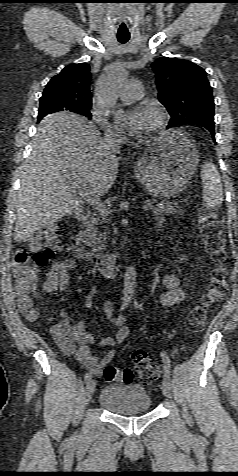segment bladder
Instances as JSON below:
<instances>
[{
	"label": "bladder",
	"instance_id": "bladder-1",
	"mask_svg": "<svg viewBox=\"0 0 238 476\" xmlns=\"http://www.w3.org/2000/svg\"><path fill=\"white\" fill-rule=\"evenodd\" d=\"M99 405L113 414L127 416L150 410L152 399L142 385L111 383L101 390Z\"/></svg>",
	"mask_w": 238,
	"mask_h": 476
}]
</instances>
